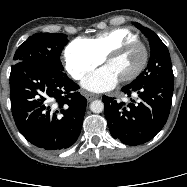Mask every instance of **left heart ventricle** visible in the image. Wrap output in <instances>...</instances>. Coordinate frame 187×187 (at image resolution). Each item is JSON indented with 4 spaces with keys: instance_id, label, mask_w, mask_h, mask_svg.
Returning a JSON list of instances; mask_svg holds the SVG:
<instances>
[{
    "instance_id": "b2bd125f",
    "label": "left heart ventricle",
    "mask_w": 187,
    "mask_h": 187,
    "mask_svg": "<svg viewBox=\"0 0 187 187\" xmlns=\"http://www.w3.org/2000/svg\"><path fill=\"white\" fill-rule=\"evenodd\" d=\"M143 56V48L136 45L127 49L119 57L110 59L107 65L114 71L119 79H122L133 73L139 67Z\"/></svg>"
}]
</instances>
